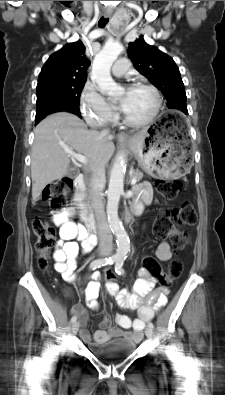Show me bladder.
<instances>
[{
  "label": "bladder",
  "mask_w": 225,
  "mask_h": 395,
  "mask_svg": "<svg viewBox=\"0 0 225 395\" xmlns=\"http://www.w3.org/2000/svg\"><path fill=\"white\" fill-rule=\"evenodd\" d=\"M137 344L129 339L116 338L104 344H93L91 352L99 359L111 361L131 355Z\"/></svg>",
  "instance_id": "31cf9c89"
}]
</instances>
